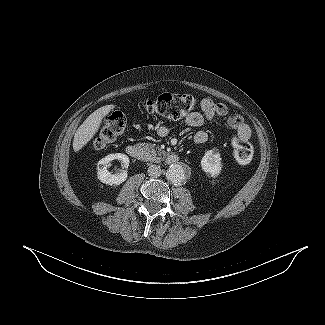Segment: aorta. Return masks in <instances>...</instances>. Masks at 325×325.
I'll return each instance as SVG.
<instances>
[{"mask_svg": "<svg viewBox=\"0 0 325 325\" xmlns=\"http://www.w3.org/2000/svg\"><path fill=\"white\" fill-rule=\"evenodd\" d=\"M166 177L172 183H182L186 179V170L180 164H172L167 170Z\"/></svg>", "mask_w": 325, "mask_h": 325, "instance_id": "obj_1", "label": "aorta"}]
</instances>
